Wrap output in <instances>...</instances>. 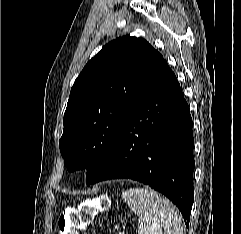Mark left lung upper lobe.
I'll use <instances>...</instances> for the list:
<instances>
[{"label":"left lung upper lobe","mask_w":241,"mask_h":234,"mask_svg":"<svg viewBox=\"0 0 241 234\" xmlns=\"http://www.w3.org/2000/svg\"><path fill=\"white\" fill-rule=\"evenodd\" d=\"M146 40L119 37L75 80L64 114L60 152L69 171L87 169V184L104 165L131 106L163 61Z\"/></svg>","instance_id":"1"}]
</instances>
